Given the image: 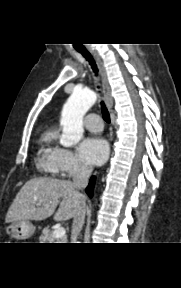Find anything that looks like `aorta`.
Returning <instances> with one entry per match:
<instances>
[{"mask_svg":"<svg viewBox=\"0 0 181 288\" xmlns=\"http://www.w3.org/2000/svg\"><path fill=\"white\" fill-rule=\"evenodd\" d=\"M95 101L96 94L91 90L75 89L73 91L61 113V145L71 147L81 140L84 132L83 117Z\"/></svg>","mask_w":181,"mask_h":288,"instance_id":"1","label":"aorta"}]
</instances>
